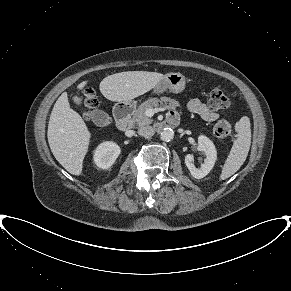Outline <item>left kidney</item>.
Segmentation results:
<instances>
[{"label": "left kidney", "instance_id": "1", "mask_svg": "<svg viewBox=\"0 0 291 291\" xmlns=\"http://www.w3.org/2000/svg\"><path fill=\"white\" fill-rule=\"evenodd\" d=\"M198 151H202L205 155V162L200 168H196L193 163V155L187 154L185 156V164L189 169L191 175L196 179L204 178L214 167L217 160V152L213 142L206 136L200 135L198 137Z\"/></svg>", "mask_w": 291, "mask_h": 291}]
</instances>
